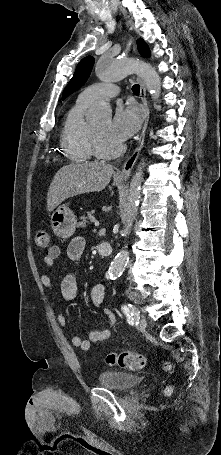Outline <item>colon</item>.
Listing matches in <instances>:
<instances>
[{"instance_id": "colon-1", "label": "colon", "mask_w": 221, "mask_h": 455, "mask_svg": "<svg viewBox=\"0 0 221 455\" xmlns=\"http://www.w3.org/2000/svg\"><path fill=\"white\" fill-rule=\"evenodd\" d=\"M35 246L38 250H50L52 246V241L50 234L45 229H39L35 235ZM106 362L111 366H118L120 368L128 370H141L146 365V358L137 352L132 351H123L118 353H110ZM166 369L170 370L171 365L166 363Z\"/></svg>"}]
</instances>
